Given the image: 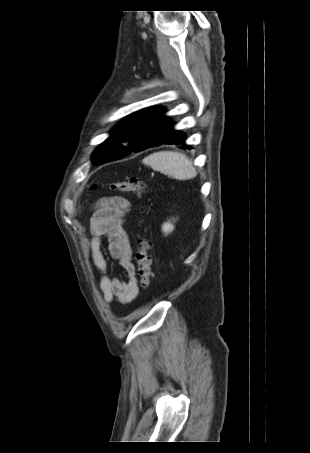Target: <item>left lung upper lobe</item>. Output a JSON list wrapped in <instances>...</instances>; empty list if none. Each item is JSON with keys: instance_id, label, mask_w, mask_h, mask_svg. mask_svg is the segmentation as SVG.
<instances>
[{"instance_id": "left-lung-upper-lobe-1", "label": "left lung upper lobe", "mask_w": 310, "mask_h": 453, "mask_svg": "<svg viewBox=\"0 0 310 453\" xmlns=\"http://www.w3.org/2000/svg\"><path fill=\"white\" fill-rule=\"evenodd\" d=\"M172 121L164 109L150 107L128 115L111 131V136L94 152L93 164L116 160L132 151L138 152L165 137Z\"/></svg>"}]
</instances>
